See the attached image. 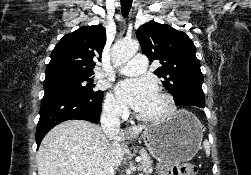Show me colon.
Wrapping results in <instances>:
<instances>
[{"label": "colon", "instance_id": "1", "mask_svg": "<svg viewBox=\"0 0 251 175\" xmlns=\"http://www.w3.org/2000/svg\"><path fill=\"white\" fill-rule=\"evenodd\" d=\"M157 172L159 175H196L198 168L189 162H161Z\"/></svg>", "mask_w": 251, "mask_h": 175}]
</instances>
